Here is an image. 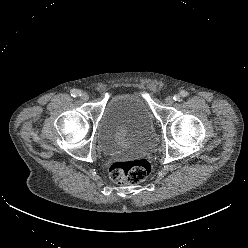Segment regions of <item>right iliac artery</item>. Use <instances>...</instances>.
I'll use <instances>...</instances> for the list:
<instances>
[{"label": "right iliac artery", "mask_w": 248, "mask_h": 248, "mask_svg": "<svg viewBox=\"0 0 248 248\" xmlns=\"http://www.w3.org/2000/svg\"><path fill=\"white\" fill-rule=\"evenodd\" d=\"M70 93H71V96H72V97L81 96V91H80V90L73 89V90H71Z\"/></svg>", "instance_id": "obj_1"}]
</instances>
